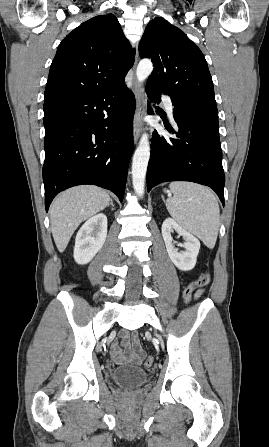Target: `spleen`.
I'll use <instances>...</instances> for the list:
<instances>
[{
  "instance_id": "1",
  "label": "spleen",
  "mask_w": 269,
  "mask_h": 447,
  "mask_svg": "<svg viewBox=\"0 0 269 447\" xmlns=\"http://www.w3.org/2000/svg\"><path fill=\"white\" fill-rule=\"evenodd\" d=\"M169 188L173 192V198L166 200L170 216L213 249L220 222L216 196L210 188L192 182H172Z\"/></svg>"
}]
</instances>
